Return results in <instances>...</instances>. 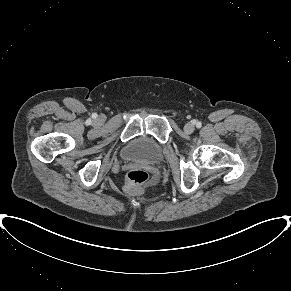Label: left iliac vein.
Listing matches in <instances>:
<instances>
[{
    "label": "left iliac vein",
    "instance_id": "obj_1",
    "mask_svg": "<svg viewBox=\"0 0 291 291\" xmlns=\"http://www.w3.org/2000/svg\"><path fill=\"white\" fill-rule=\"evenodd\" d=\"M194 125L192 123H187L185 126H184V131L187 133V134H191L193 131H194Z\"/></svg>",
    "mask_w": 291,
    "mask_h": 291
}]
</instances>
